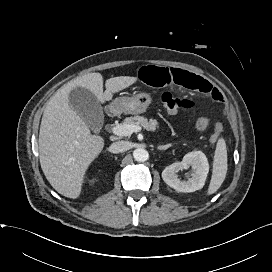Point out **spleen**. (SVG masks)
Here are the masks:
<instances>
[{"label":"spleen","instance_id":"spleen-1","mask_svg":"<svg viewBox=\"0 0 272 272\" xmlns=\"http://www.w3.org/2000/svg\"><path fill=\"white\" fill-rule=\"evenodd\" d=\"M227 173V148L223 138L216 145L213 161V172L208 188V195L215 193L222 185Z\"/></svg>","mask_w":272,"mask_h":272}]
</instances>
